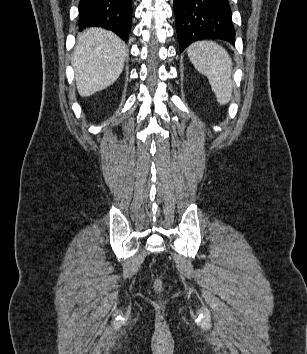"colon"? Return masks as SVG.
Masks as SVG:
<instances>
[{"label": "colon", "mask_w": 307, "mask_h": 354, "mask_svg": "<svg viewBox=\"0 0 307 354\" xmlns=\"http://www.w3.org/2000/svg\"><path fill=\"white\" fill-rule=\"evenodd\" d=\"M155 289H156L157 291H160V290H161V281L158 280V279L155 281Z\"/></svg>", "instance_id": "colon-1"}]
</instances>
